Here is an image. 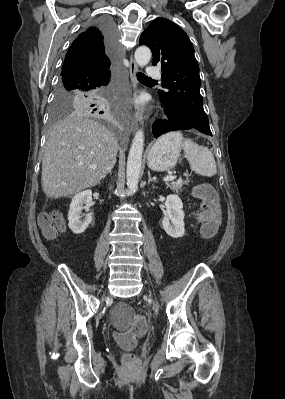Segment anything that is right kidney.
<instances>
[{
	"label": "right kidney",
	"mask_w": 285,
	"mask_h": 399,
	"mask_svg": "<svg viewBox=\"0 0 285 399\" xmlns=\"http://www.w3.org/2000/svg\"><path fill=\"white\" fill-rule=\"evenodd\" d=\"M92 203V191L85 190L76 194L70 203V209L68 212V221L69 228L72 230L74 234L83 233L89 224L92 222V215L87 213L85 215V219L80 220L82 215V210L84 209L86 212L89 211L90 205ZM85 204V206H84Z\"/></svg>",
	"instance_id": "1"
}]
</instances>
